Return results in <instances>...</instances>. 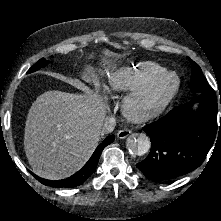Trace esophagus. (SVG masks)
<instances>
[{
	"label": "esophagus",
	"instance_id": "34e87169",
	"mask_svg": "<svg viewBox=\"0 0 221 221\" xmlns=\"http://www.w3.org/2000/svg\"><path fill=\"white\" fill-rule=\"evenodd\" d=\"M130 134H131V130L122 129V130L118 131L117 137L120 139H124V138L128 137Z\"/></svg>",
	"mask_w": 221,
	"mask_h": 221
}]
</instances>
